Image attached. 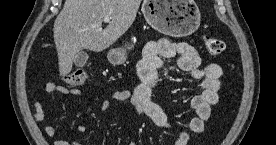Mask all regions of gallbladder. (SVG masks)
<instances>
[{"mask_svg": "<svg viewBox=\"0 0 276 145\" xmlns=\"http://www.w3.org/2000/svg\"><path fill=\"white\" fill-rule=\"evenodd\" d=\"M88 60V54L85 51H80L75 59H74V64L76 67H83Z\"/></svg>", "mask_w": 276, "mask_h": 145, "instance_id": "obj_1", "label": "gallbladder"}]
</instances>
